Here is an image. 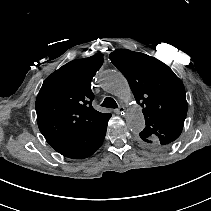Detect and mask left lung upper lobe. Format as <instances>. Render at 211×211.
Instances as JSON below:
<instances>
[{
	"instance_id": "obj_1",
	"label": "left lung upper lobe",
	"mask_w": 211,
	"mask_h": 211,
	"mask_svg": "<svg viewBox=\"0 0 211 211\" xmlns=\"http://www.w3.org/2000/svg\"><path fill=\"white\" fill-rule=\"evenodd\" d=\"M111 62L122 72L138 104L143 108V143L160 150L181 134L187 115L185 88L175 73L158 59L127 50L110 54Z\"/></svg>"
}]
</instances>
